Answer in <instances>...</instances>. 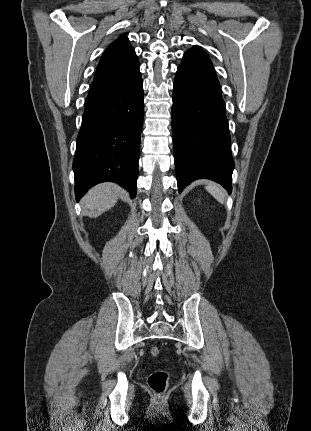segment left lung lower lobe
I'll return each mask as SVG.
<instances>
[{"instance_id":"0a47b994","label":"left lung lower lobe","mask_w":311,"mask_h":431,"mask_svg":"<svg viewBox=\"0 0 311 431\" xmlns=\"http://www.w3.org/2000/svg\"><path fill=\"white\" fill-rule=\"evenodd\" d=\"M172 130L179 193L200 178L231 193L234 160L225 103L214 67L202 49L185 52L176 72Z\"/></svg>"}]
</instances>
